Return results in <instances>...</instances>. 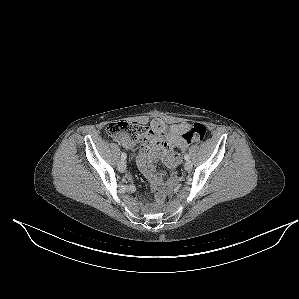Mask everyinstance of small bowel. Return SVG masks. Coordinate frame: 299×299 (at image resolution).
<instances>
[{
	"mask_svg": "<svg viewBox=\"0 0 299 299\" xmlns=\"http://www.w3.org/2000/svg\"><path fill=\"white\" fill-rule=\"evenodd\" d=\"M189 127L190 125L187 123L167 125L160 118H154L150 122L148 134L134 157L141 172L154 189L162 186V176L155 172V163L161 160L170 170L177 167L180 163V157L175 152V148L184 150L188 147L189 143L185 141L184 134ZM120 143L127 149H133L135 146L134 142L125 139H120ZM169 179H174L173 172H171Z\"/></svg>",
	"mask_w": 299,
	"mask_h": 299,
	"instance_id": "obj_1",
	"label": "small bowel"
}]
</instances>
